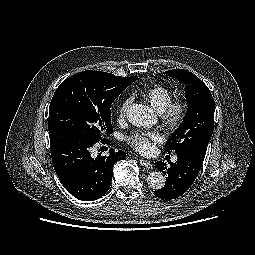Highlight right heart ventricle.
<instances>
[{
    "mask_svg": "<svg viewBox=\"0 0 255 255\" xmlns=\"http://www.w3.org/2000/svg\"><path fill=\"white\" fill-rule=\"evenodd\" d=\"M142 97L154 109L161 112L173 100V92L165 85L156 84L145 90Z\"/></svg>",
    "mask_w": 255,
    "mask_h": 255,
    "instance_id": "right-heart-ventricle-1",
    "label": "right heart ventricle"
}]
</instances>
